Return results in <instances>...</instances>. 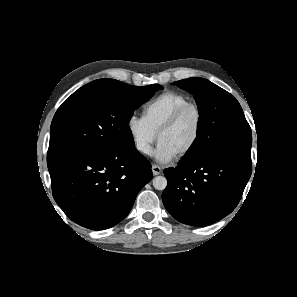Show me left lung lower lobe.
<instances>
[{
	"label": "left lung lower lobe",
	"instance_id": "obj_1",
	"mask_svg": "<svg viewBox=\"0 0 297 297\" xmlns=\"http://www.w3.org/2000/svg\"><path fill=\"white\" fill-rule=\"evenodd\" d=\"M251 172V163L228 156L182 159L177 167L164 170V206L181 223L213 224L237 206Z\"/></svg>",
	"mask_w": 297,
	"mask_h": 297
}]
</instances>
